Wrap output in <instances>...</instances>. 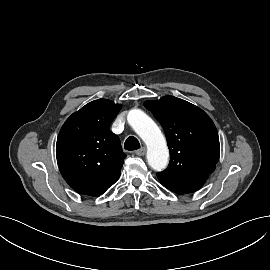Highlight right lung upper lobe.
<instances>
[{"label": "right lung upper lobe", "instance_id": "obj_1", "mask_svg": "<svg viewBox=\"0 0 270 270\" xmlns=\"http://www.w3.org/2000/svg\"><path fill=\"white\" fill-rule=\"evenodd\" d=\"M120 109L119 104L98 99L63 124L56 143L57 163L76 192L99 196L119 179L126 155L110 124Z\"/></svg>", "mask_w": 270, "mask_h": 270}]
</instances>
